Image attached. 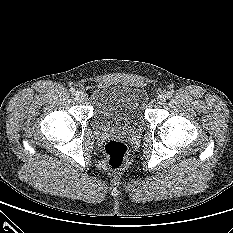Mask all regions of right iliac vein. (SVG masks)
Returning <instances> with one entry per match:
<instances>
[{"instance_id": "63e3f726", "label": "right iliac vein", "mask_w": 233, "mask_h": 233, "mask_svg": "<svg viewBox=\"0 0 233 233\" xmlns=\"http://www.w3.org/2000/svg\"><path fill=\"white\" fill-rule=\"evenodd\" d=\"M75 97L78 101L84 100V93L82 91H76L75 92Z\"/></svg>"}]
</instances>
